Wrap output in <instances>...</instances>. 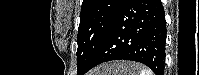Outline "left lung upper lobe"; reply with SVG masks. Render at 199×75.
Returning <instances> with one entry per match:
<instances>
[{
    "mask_svg": "<svg viewBox=\"0 0 199 75\" xmlns=\"http://www.w3.org/2000/svg\"><path fill=\"white\" fill-rule=\"evenodd\" d=\"M124 0H83L77 36V75L90 66Z\"/></svg>",
    "mask_w": 199,
    "mask_h": 75,
    "instance_id": "5c2ea615",
    "label": "left lung upper lobe"
}]
</instances>
